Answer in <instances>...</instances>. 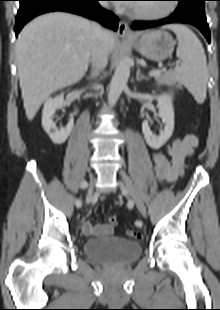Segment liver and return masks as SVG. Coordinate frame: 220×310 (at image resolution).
<instances>
[{
    "label": "liver",
    "mask_w": 220,
    "mask_h": 310,
    "mask_svg": "<svg viewBox=\"0 0 220 310\" xmlns=\"http://www.w3.org/2000/svg\"><path fill=\"white\" fill-rule=\"evenodd\" d=\"M109 53L115 36L107 31ZM91 23L82 17L54 12L37 17L20 32L16 60L24 109L32 120L54 91L79 82L88 69Z\"/></svg>",
    "instance_id": "6515ba94"
}]
</instances>
